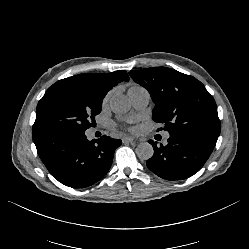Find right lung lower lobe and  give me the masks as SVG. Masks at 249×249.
<instances>
[{
  "label": "right lung lower lobe",
  "mask_w": 249,
  "mask_h": 249,
  "mask_svg": "<svg viewBox=\"0 0 249 249\" xmlns=\"http://www.w3.org/2000/svg\"><path fill=\"white\" fill-rule=\"evenodd\" d=\"M37 152L50 174L62 184L84 188L109 171L121 140L103 135L88 140L85 131L34 130Z\"/></svg>",
  "instance_id": "1"
}]
</instances>
